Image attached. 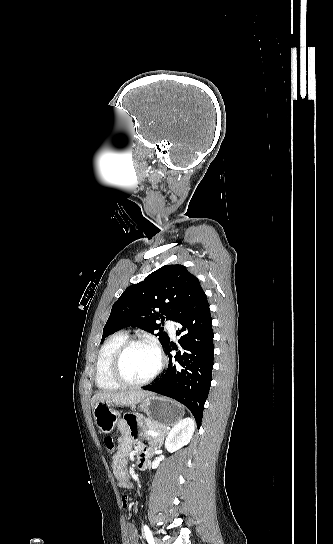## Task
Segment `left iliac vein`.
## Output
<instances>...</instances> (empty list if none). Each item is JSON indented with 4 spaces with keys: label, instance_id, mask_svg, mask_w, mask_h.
Returning a JSON list of instances; mask_svg holds the SVG:
<instances>
[{
    "label": "left iliac vein",
    "instance_id": "1",
    "mask_svg": "<svg viewBox=\"0 0 333 544\" xmlns=\"http://www.w3.org/2000/svg\"><path fill=\"white\" fill-rule=\"evenodd\" d=\"M154 544H162L158 539H155V543Z\"/></svg>",
    "mask_w": 333,
    "mask_h": 544
}]
</instances>
